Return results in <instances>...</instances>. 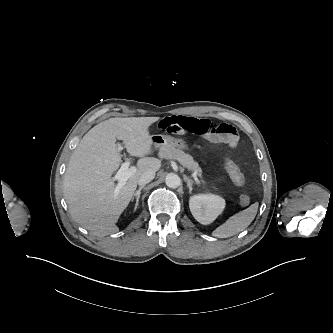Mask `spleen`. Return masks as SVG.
I'll use <instances>...</instances> for the list:
<instances>
[{
	"instance_id": "obj_1",
	"label": "spleen",
	"mask_w": 333,
	"mask_h": 333,
	"mask_svg": "<svg viewBox=\"0 0 333 333\" xmlns=\"http://www.w3.org/2000/svg\"><path fill=\"white\" fill-rule=\"evenodd\" d=\"M258 206L259 204L256 202L247 209L229 217L223 224L213 230L212 235L218 238H228L243 231L254 220Z\"/></svg>"
}]
</instances>
